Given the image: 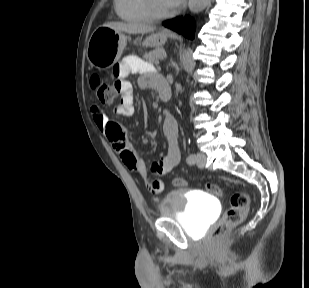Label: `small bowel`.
<instances>
[{"label":"small bowel","mask_w":309,"mask_h":288,"mask_svg":"<svg viewBox=\"0 0 309 288\" xmlns=\"http://www.w3.org/2000/svg\"><path fill=\"white\" fill-rule=\"evenodd\" d=\"M131 73L140 74L139 84L144 88L159 89L161 82L164 80L160 75L154 73L150 64L136 56H127L120 64L116 65L113 74L116 78V92L120 95V103L115 108V113L126 117L132 116L135 112L131 85L125 79ZM91 112L98 129L120 155L126 168L142 176L153 192L160 193L163 190V183L159 176L171 172L180 162L178 124L175 117L170 113L165 115L163 130L168 142V149L158 162L153 163L147 169L137 149L124 134L120 124L109 120L100 106H93Z\"/></svg>","instance_id":"1"}]
</instances>
